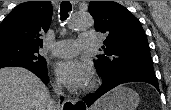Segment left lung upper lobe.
<instances>
[{"instance_id": "left-lung-upper-lobe-1", "label": "left lung upper lobe", "mask_w": 171, "mask_h": 110, "mask_svg": "<svg viewBox=\"0 0 171 110\" xmlns=\"http://www.w3.org/2000/svg\"><path fill=\"white\" fill-rule=\"evenodd\" d=\"M89 12L96 31L107 35L104 54L94 61L102 78L127 69L154 70L147 37L132 13L114 1H90Z\"/></svg>"}]
</instances>
